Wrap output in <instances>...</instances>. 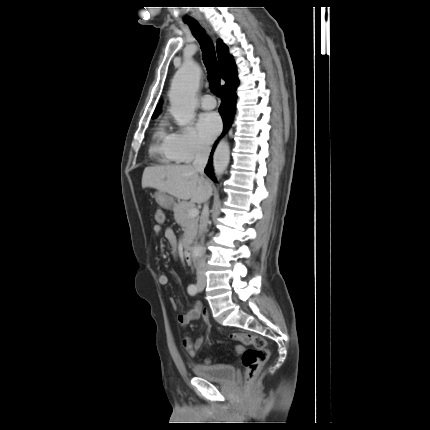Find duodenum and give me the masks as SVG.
<instances>
[{"label": "duodenum", "instance_id": "obj_1", "mask_svg": "<svg viewBox=\"0 0 430 430\" xmlns=\"http://www.w3.org/2000/svg\"><path fill=\"white\" fill-rule=\"evenodd\" d=\"M183 257L188 265L193 263L192 248L189 244H185L183 248Z\"/></svg>", "mask_w": 430, "mask_h": 430}]
</instances>
